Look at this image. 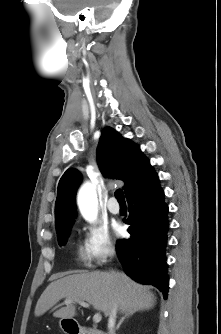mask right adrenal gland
<instances>
[{"label": "right adrenal gland", "mask_w": 221, "mask_h": 334, "mask_svg": "<svg viewBox=\"0 0 221 334\" xmlns=\"http://www.w3.org/2000/svg\"><path fill=\"white\" fill-rule=\"evenodd\" d=\"M138 310H133V311H130L128 313H126L119 321V323L117 324V329H119L120 325L123 323V321L130 317L131 315H133L135 312H137Z\"/></svg>", "instance_id": "1"}]
</instances>
